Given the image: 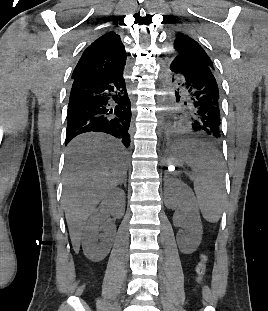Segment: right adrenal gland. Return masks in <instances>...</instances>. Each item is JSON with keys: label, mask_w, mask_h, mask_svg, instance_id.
<instances>
[{"label": "right adrenal gland", "mask_w": 268, "mask_h": 311, "mask_svg": "<svg viewBox=\"0 0 268 311\" xmlns=\"http://www.w3.org/2000/svg\"><path fill=\"white\" fill-rule=\"evenodd\" d=\"M122 183L124 184V187H126V177L122 180V182L120 183V185H122Z\"/></svg>", "instance_id": "right-adrenal-gland-1"}]
</instances>
